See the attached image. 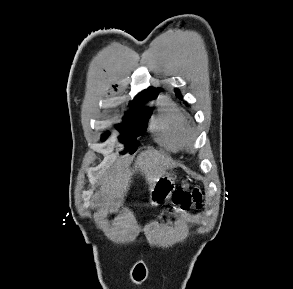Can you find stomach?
Segmentation results:
<instances>
[{
  "label": "stomach",
  "mask_w": 293,
  "mask_h": 289,
  "mask_svg": "<svg viewBox=\"0 0 293 289\" xmlns=\"http://www.w3.org/2000/svg\"><path fill=\"white\" fill-rule=\"evenodd\" d=\"M175 189V180L170 174H165L154 184L150 192V204L159 206L170 198Z\"/></svg>",
  "instance_id": "1"
}]
</instances>
